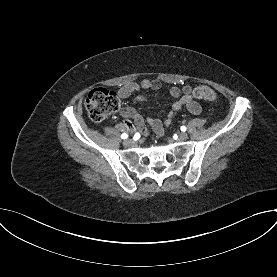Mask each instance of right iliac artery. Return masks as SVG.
Returning a JSON list of instances; mask_svg holds the SVG:
<instances>
[{
	"instance_id": "right-iliac-artery-1",
	"label": "right iliac artery",
	"mask_w": 277,
	"mask_h": 277,
	"mask_svg": "<svg viewBox=\"0 0 277 277\" xmlns=\"http://www.w3.org/2000/svg\"><path fill=\"white\" fill-rule=\"evenodd\" d=\"M128 137V134H126V133H123L122 135H121V138L122 139H126Z\"/></svg>"
}]
</instances>
